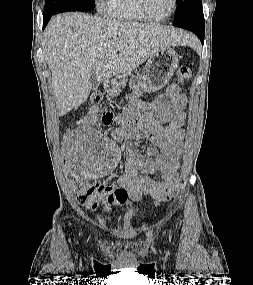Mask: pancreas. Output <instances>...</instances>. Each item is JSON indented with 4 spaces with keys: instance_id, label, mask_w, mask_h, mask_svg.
I'll list each match as a JSON object with an SVG mask.
<instances>
[{
    "instance_id": "obj_1",
    "label": "pancreas",
    "mask_w": 253,
    "mask_h": 285,
    "mask_svg": "<svg viewBox=\"0 0 253 285\" xmlns=\"http://www.w3.org/2000/svg\"><path fill=\"white\" fill-rule=\"evenodd\" d=\"M127 83V76H124L123 79H119V81H117V86L118 87H122L124 88L126 86Z\"/></svg>"
}]
</instances>
